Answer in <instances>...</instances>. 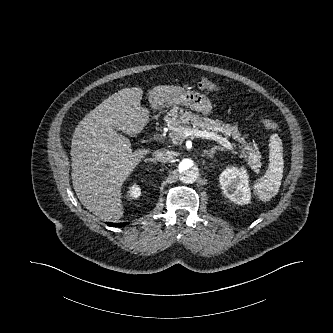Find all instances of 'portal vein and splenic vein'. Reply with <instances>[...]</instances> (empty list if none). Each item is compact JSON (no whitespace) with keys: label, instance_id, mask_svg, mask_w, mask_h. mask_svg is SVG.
Segmentation results:
<instances>
[{"label":"portal vein and splenic vein","instance_id":"18ae733b","mask_svg":"<svg viewBox=\"0 0 333 333\" xmlns=\"http://www.w3.org/2000/svg\"><path fill=\"white\" fill-rule=\"evenodd\" d=\"M188 136H195L198 138L215 140V141L219 142L221 145H223L228 150L234 149L232 144L226 138H224L220 135H217L213 132H207V131H202V130H198L195 128H189L184 131V137H188Z\"/></svg>","mask_w":333,"mask_h":333}]
</instances>
